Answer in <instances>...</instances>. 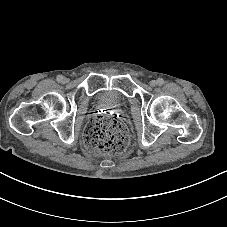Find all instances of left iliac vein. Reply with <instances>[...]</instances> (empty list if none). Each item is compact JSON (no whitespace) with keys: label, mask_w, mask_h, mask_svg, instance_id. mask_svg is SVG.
<instances>
[{"label":"left iliac vein","mask_w":227,"mask_h":227,"mask_svg":"<svg viewBox=\"0 0 227 227\" xmlns=\"http://www.w3.org/2000/svg\"><path fill=\"white\" fill-rule=\"evenodd\" d=\"M149 84H150V86L155 87L157 85V81L156 80H151L149 82Z\"/></svg>","instance_id":"left-iliac-vein-1"}]
</instances>
